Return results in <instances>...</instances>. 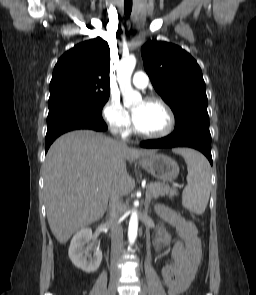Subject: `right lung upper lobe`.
Listing matches in <instances>:
<instances>
[{
    "label": "right lung upper lobe",
    "instance_id": "right-lung-upper-lobe-1",
    "mask_svg": "<svg viewBox=\"0 0 256 295\" xmlns=\"http://www.w3.org/2000/svg\"><path fill=\"white\" fill-rule=\"evenodd\" d=\"M110 49L100 37L64 53L55 65L49 101L65 96H109Z\"/></svg>",
    "mask_w": 256,
    "mask_h": 295
}]
</instances>
